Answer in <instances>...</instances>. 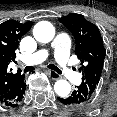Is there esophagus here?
<instances>
[{
	"label": "esophagus",
	"mask_w": 117,
	"mask_h": 117,
	"mask_svg": "<svg viewBox=\"0 0 117 117\" xmlns=\"http://www.w3.org/2000/svg\"><path fill=\"white\" fill-rule=\"evenodd\" d=\"M48 74H49L50 78H52L53 80H57L60 78V75L58 73H56L55 71L49 70Z\"/></svg>",
	"instance_id": "esophagus-1"
}]
</instances>
